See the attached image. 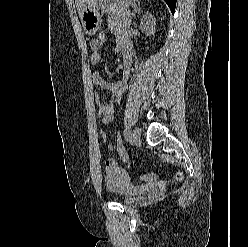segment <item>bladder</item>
Masks as SVG:
<instances>
[{"mask_svg":"<svg viewBox=\"0 0 248 247\" xmlns=\"http://www.w3.org/2000/svg\"><path fill=\"white\" fill-rule=\"evenodd\" d=\"M104 180L108 191L112 195L118 196L125 204L132 203L134 198L141 194V191L132 182L128 172L123 169L115 168L108 170Z\"/></svg>","mask_w":248,"mask_h":247,"instance_id":"obj_1","label":"bladder"}]
</instances>
